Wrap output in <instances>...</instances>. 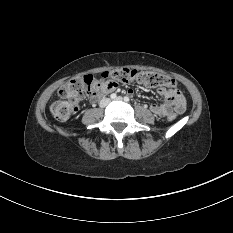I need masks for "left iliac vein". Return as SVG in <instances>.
Here are the masks:
<instances>
[{"label": "left iliac vein", "mask_w": 233, "mask_h": 233, "mask_svg": "<svg viewBox=\"0 0 233 233\" xmlns=\"http://www.w3.org/2000/svg\"><path fill=\"white\" fill-rule=\"evenodd\" d=\"M115 100H117V101H123V98L119 96Z\"/></svg>", "instance_id": "obj_1"}]
</instances>
